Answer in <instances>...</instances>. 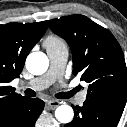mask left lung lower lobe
Returning a JSON list of instances; mask_svg holds the SVG:
<instances>
[{
  "mask_svg": "<svg viewBox=\"0 0 127 127\" xmlns=\"http://www.w3.org/2000/svg\"><path fill=\"white\" fill-rule=\"evenodd\" d=\"M75 116L64 127H116L123 110L85 101L82 107L73 106Z\"/></svg>",
  "mask_w": 127,
  "mask_h": 127,
  "instance_id": "0a47b994",
  "label": "left lung lower lobe"
}]
</instances>
